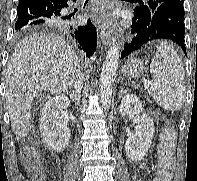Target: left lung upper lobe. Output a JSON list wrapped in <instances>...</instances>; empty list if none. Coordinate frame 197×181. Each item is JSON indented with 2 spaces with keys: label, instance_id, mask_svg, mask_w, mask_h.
<instances>
[{
  "label": "left lung upper lobe",
  "instance_id": "5c2ea615",
  "mask_svg": "<svg viewBox=\"0 0 197 181\" xmlns=\"http://www.w3.org/2000/svg\"><path fill=\"white\" fill-rule=\"evenodd\" d=\"M172 0H149L147 5L142 4L134 8V20L146 21L151 18L160 4Z\"/></svg>",
  "mask_w": 197,
  "mask_h": 181
}]
</instances>
